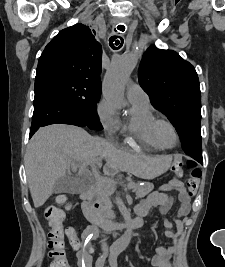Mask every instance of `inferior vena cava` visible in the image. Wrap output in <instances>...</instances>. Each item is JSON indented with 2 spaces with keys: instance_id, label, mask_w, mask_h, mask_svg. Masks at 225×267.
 <instances>
[{
  "instance_id": "obj_1",
  "label": "inferior vena cava",
  "mask_w": 225,
  "mask_h": 267,
  "mask_svg": "<svg viewBox=\"0 0 225 267\" xmlns=\"http://www.w3.org/2000/svg\"><path fill=\"white\" fill-rule=\"evenodd\" d=\"M99 139H101V138H99ZM101 140H103V139H101ZM106 239H104L103 241H102V245L104 246V245H106Z\"/></svg>"
}]
</instances>
